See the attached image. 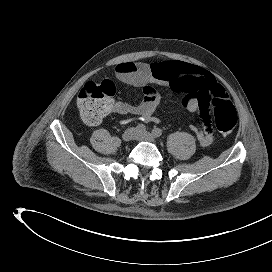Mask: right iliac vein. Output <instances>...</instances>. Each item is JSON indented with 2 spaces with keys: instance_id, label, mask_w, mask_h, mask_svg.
Masks as SVG:
<instances>
[{
  "instance_id": "1",
  "label": "right iliac vein",
  "mask_w": 272,
  "mask_h": 272,
  "mask_svg": "<svg viewBox=\"0 0 272 272\" xmlns=\"http://www.w3.org/2000/svg\"><path fill=\"white\" fill-rule=\"evenodd\" d=\"M137 133L135 128H129L123 133L122 138L124 141L129 142L136 139Z\"/></svg>"
}]
</instances>
